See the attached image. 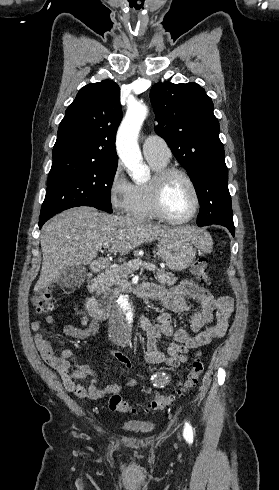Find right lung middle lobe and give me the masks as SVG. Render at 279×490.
I'll use <instances>...</instances> for the list:
<instances>
[{"instance_id": "obj_1", "label": "right lung middle lobe", "mask_w": 279, "mask_h": 490, "mask_svg": "<svg viewBox=\"0 0 279 490\" xmlns=\"http://www.w3.org/2000/svg\"><path fill=\"white\" fill-rule=\"evenodd\" d=\"M116 169L117 160H76L52 165L39 220L78 206L112 213L110 194Z\"/></svg>"}]
</instances>
